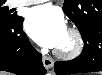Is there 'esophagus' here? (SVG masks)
<instances>
[{"mask_svg":"<svg viewBox=\"0 0 102 75\" xmlns=\"http://www.w3.org/2000/svg\"><path fill=\"white\" fill-rule=\"evenodd\" d=\"M43 64L45 66L46 69H51L53 64H54V60L48 56H43Z\"/></svg>","mask_w":102,"mask_h":75,"instance_id":"1","label":"esophagus"}]
</instances>
